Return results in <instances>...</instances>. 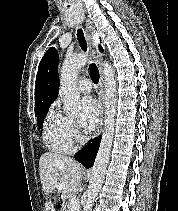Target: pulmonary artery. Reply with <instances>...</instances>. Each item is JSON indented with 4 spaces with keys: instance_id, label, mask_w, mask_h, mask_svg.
<instances>
[{
    "instance_id": "obj_1",
    "label": "pulmonary artery",
    "mask_w": 178,
    "mask_h": 211,
    "mask_svg": "<svg viewBox=\"0 0 178 211\" xmlns=\"http://www.w3.org/2000/svg\"><path fill=\"white\" fill-rule=\"evenodd\" d=\"M78 89L83 93H89L91 91V81L88 78L80 79Z\"/></svg>"
}]
</instances>
